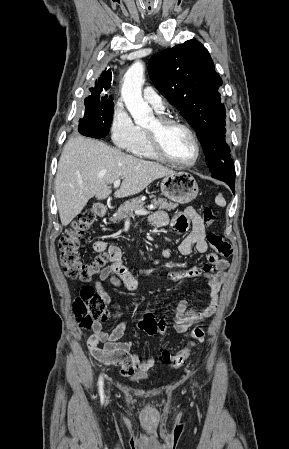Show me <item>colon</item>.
I'll list each match as a JSON object with an SVG mask.
<instances>
[{
    "label": "colon",
    "instance_id": "5ec220e1",
    "mask_svg": "<svg viewBox=\"0 0 289 449\" xmlns=\"http://www.w3.org/2000/svg\"><path fill=\"white\" fill-rule=\"evenodd\" d=\"M203 222L206 226H211L216 221L213 210L205 206L202 210ZM95 220V213L92 210L82 212L72 223L67 234L59 242L60 261L68 277L83 282L89 281L93 276L108 266L109 256L107 253L98 254L93 260L85 262L81 258L79 251V239L91 227ZM207 240L210 246L219 257H229L232 254L230 244L219 234L209 232ZM105 309V301L95 292L91 286H84L80 295L74 300L73 312L84 329H91L92 326L102 317ZM139 328L148 335L159 334L164 336L168 332L167 324L164 320L156 321L150 314L145 315L139 322ZM205 332L201 327H194L190 332V341L181 350L171 353L168 349H161L163 362L171 367H179L190 355L195 342L203 340Z\"/></svg>",
    "mask_w": 289,
    "mask_h": 449
}]
</instances>
